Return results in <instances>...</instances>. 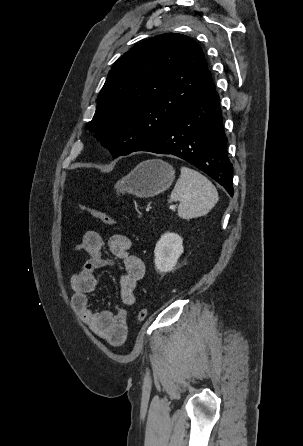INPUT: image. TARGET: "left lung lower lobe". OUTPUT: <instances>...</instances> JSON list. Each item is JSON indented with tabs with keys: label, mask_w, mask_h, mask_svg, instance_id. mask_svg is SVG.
Instances as JSON below:
<instances>
[{
	"label": "left lung lower lobe",
	"mask_w": 303,
	"mask_h": 446,
	"mask_svg": "<svg viewBox=\"0 0 303 446\" xmlns=\"http://www.w3.org/2000/svg\"><path fill=\"white\" fill-rule=\"evenodd\" d=\"M219 96L211 81L184 107L161 136L135 151L172 154L193 164L233 196V169L227 156Z\"/></svg>",
	"instance_id": "left-lung-lower-lobe-1"
}]
</instances>
